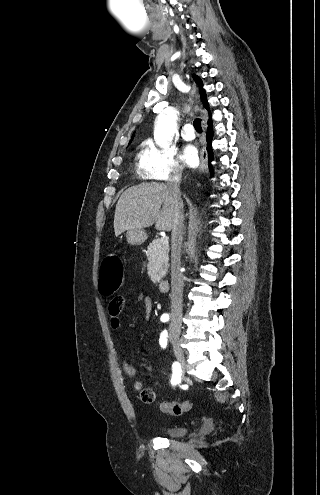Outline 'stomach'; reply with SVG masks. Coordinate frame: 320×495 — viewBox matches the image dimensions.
<instances>
[{"mask_svg":"<svg viewBox=\"0 0 320 495\" xmlns=\"http://www.w3.org/2000/svg\"><path fill=\"white\" fill-rule=\"evenodd\" d=\"M127 241L130 245H141L147 239V233L143 229H129L126 232Z\"/></svg>","mask_w":320,"mask_h":495,"instance_id":"1","label":"stomach"}]
</instances>
